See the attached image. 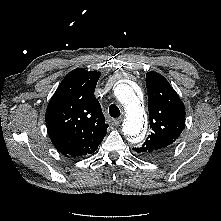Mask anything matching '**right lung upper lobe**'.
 I'll return each mask as SVG.
<instances>
[{"mask_svg":"<svg viewBox=\"0 0 221 221\" xmlns=\"http://www.w3.org/2000/svg\"><path fill=\"white\" fill-rule=\"evenodd\" d=\"M99 72L72 70L60 83L46 110V126L56 149L65 156L97 150L108 124L94 96Z\"/></svg>","mask_w":221,"mask_h":221,"instance_id":"right-lung-upper-lobe-1","label":"right lung upper lobe"}]
</instances>
